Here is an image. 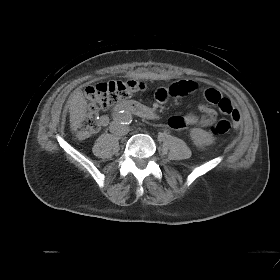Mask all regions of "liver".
<instances>
[{"label":"liver","mask_w":280,"mask_h":280,"mask_svg":"<svg viewBox=\"0 0 280 280\" xmlns=\"http://www.w3.org/2000/svg\"><path fill=\"white\" fill-rule=\"evenodd\" d=\"M70 126L76 132L86 116L87 101L80 89H76L69 100Z\"/></svg>","instance_id":"liver-1"}]
</instances>
